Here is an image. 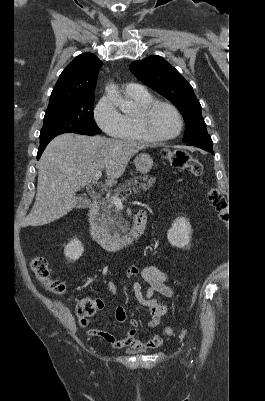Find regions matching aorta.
<instances>
[{
  "label": "aorta",
  "mask_w": 265,
  "mask_h": 401,
  "mask_svg": "<svg viewBox=\"0 0 265 401\" xmlns=\"http://www.w3.org/2000/svg\"><path fill=\"white\" fill-rule=\"evenodd\" d=\"M105 92L107 94V96H109V98H112L114 104H116V106H119V108H121V110H125L126 108V102L125 100H123L120 92H119V88L118 86H116V84H112V82H108V84H106L105 86Z\"/></svg>",
  "instance_id": "762f6f07"
}]
</instances>
